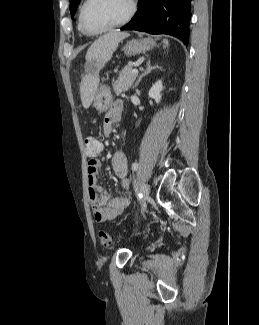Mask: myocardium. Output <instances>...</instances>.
<instances>
[{
	"label": "myocardium",
	"mask_w": 259,
	"mask_h": 325,
	"mask_svg": "<svg viewBox=\"0 0 259 325\" xmlns=\"http://www.w3.org/2000/svg\"><path fill=\"white\" fill-rule=\"evenodd\" d=\"M92 2V0H85L84 3L82 4L80 11H79V24L81 29L87 34V35H99L105 32H108L110 30H113L115 28L121 27L123 25H125L126 23H128L133 16L135 15L136 9H137V4H136V0H130V8L128 13L126 14V16L120 20L117 23H114L108 27H105L103 29L100 30H91L89 29L86 24H85V19H84V14H85V10L88 7V5Z\"/></svg>",
	"instance_id": "obj_1"
}]
</instances>
